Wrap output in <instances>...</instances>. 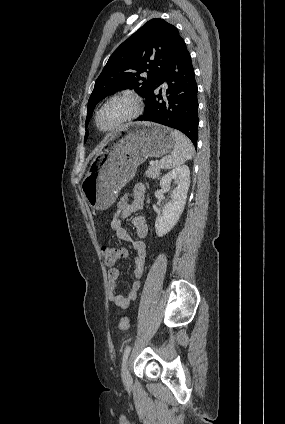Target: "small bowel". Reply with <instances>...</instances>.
I'll list each match as a JSON object with an SVG mask.
<instances>
[{
    "mask_svg": "<svg viewBox=\"0 0 285 424\" xmlns=\"http://www.w3.org/2000/svg\"><path fill=\"white\" fill-rule=\"evenodd\" d=\"M145 198V187L141 184L135 187L131 195L124 196L120 203L119 209L111 221V228L117 238L131 243L135 250L133 275L135 280L131 284L127 295H123L118 291V280L120 272L117 268L108 270V295L109 299L119 308L126 309L132 301L137 298L141 283L140 279L143 276L145 261L147 256L146 244L144 238L148 234V227L145 218L141 215L133 216L131 223L135 228L137 238L132 237L123 227V222L131 217L136 211L143 206ZM122 257L127 256V250L120 249Z\"/></svg>",
    "mask_w": 285,
    "mask_h": 424,
    "instance_id": "c3829d8e",
    "label": "small bowel"
}]
</instances>
